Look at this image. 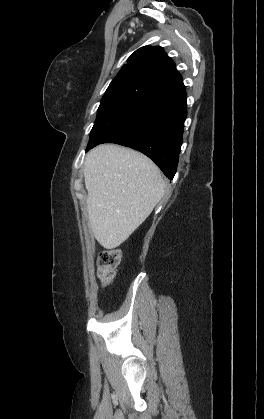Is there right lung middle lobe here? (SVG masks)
<instances>
[{"label":"right lung middle lobe","instance_id":"1","mask_svg":"<svg viewBox=\"0 0 264 419\" xmlns=\"http://www.w3.org/2000/svg\"><path fill=\"white\" fill-rule=\"evenodd\" d=\"M151 98L153 97L149 93L128 86L108 87L98 108L86 151L102 143L125 125L142 103Z\"/></svg>","mask_w":264,"mask_h":419}]
</instances>
